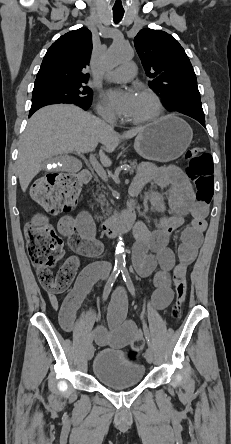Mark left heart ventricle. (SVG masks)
I'll list each match as a JSON object with an SVG mask.
<instances>
[{
  "label": "left heart ventricle",
  "mask_w": 231,
  "mask_h": 444,
  "mask_svg": "<svg viewBox=\"0 0 231 444\" xmlns=\"http://www.w3.org/2000/svg\"><path fill=\"white\" fill-rule=\"evenodd\" d=\"M154 112V102L145 95L137 94L132 113L128 118L131 120L142 119L152 115Z\"/></svg>",
  "instance_id": "b2bd125f"
}]
</instances>
